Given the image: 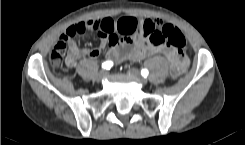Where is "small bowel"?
Listing matches in <instances>:
<instances>
[{"label":"small bowel","instance_id":"small-bowel-1","mask_svg":"<svg viewBox=\"0 0 245 145\" xmlns=\"http://www.w3.org/2000/svg\"><path fill=\"white\" fill-rule=\"evenodd\" d=\"M88 25V30L96 32L104 37L96 48L80 49L76 39L70 38L67 41V51L65 63L69 68L76 66L78 60L90 56L96 57L103 51L109 60L114 62L134 61L139 62L158 53H162L170 62L176 63L181 71L185 70L189 59L186 50L175 51L167 48L165 45L155 46L149 42L125 38L120 40L116 33L129 34V28L135 33H141L146 25L160 27V22L152 19H143L136 17H124L113 19L110 17L89 19L83 21Z\"/></svg>","mask_w":245,"mask_h":145}]
</instances>
